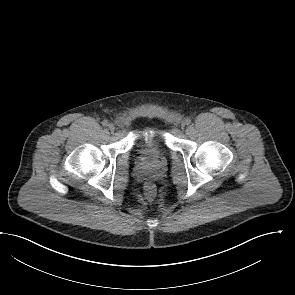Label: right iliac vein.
Returning <instances> with one entry per match:
<instances>
[{"label":"right iliac vein","mask_w":295,"mask_h":295,"mask_svg":"<svg viewBox=\"0 0 295 295\" xmlns=\"http://www.w3.org/2000/svg\"><path fill=\"white\" fill-rule=\"evenodd\" d=\"M108 129L113 132L115 130V125L113 123H110L108 125Z\"/></svg>","instance_id":"right-iliac-vein-1"}]
</instances>
